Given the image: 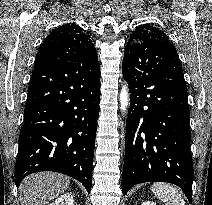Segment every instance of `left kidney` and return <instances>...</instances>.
Here are the masks:
<instances>
[{"label": "left kidney", "instance_id": "5707ae66", "mask_svg": "<svg viewBox=\"0 0 212 205\" xmlns=\"http://www.w3.org/2000/svg\"><path fill=\"white\" fill-rule=\"evenodd\" d=\"M142 205H157V204L154 203V202H151V201H144V202L142 203Z\"/></svg>", "mask_w": 212, "mask_h": 205}]
</instances>
